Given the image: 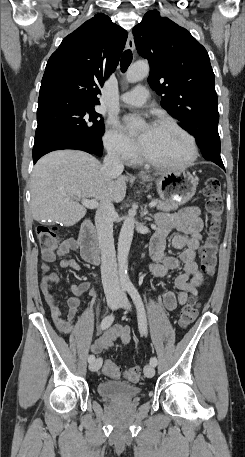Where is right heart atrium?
Here are the masks:
<instances>
[{
    "label": "right heart atrium",
    "instance_id": "d8ad5b80",
    "mask_svg": "<svg viewBox=\"0 0 245 457\" xmlns=\"http://www.w3.org/2000/svg\"><path fill=\"white\" fill-rule=\"evenodd\" d=\"M107 150L125 162H130L137 154L134 143L120 130L115 123H110L104 135Z\"/></svg>",
    "mask_w": 245,
    "mask_h": 457
}]
</instances>
